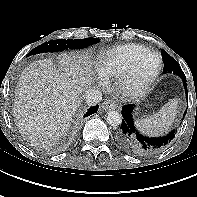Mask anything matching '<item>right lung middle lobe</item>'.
Masks as SVG:
<instances>
[{
	"instance_id": "right-lung-middle-lobe-1",
	"label": "right lung middle lobe",
	"mask_w": 197,
	"mask_h": 197,
	"mask_svg": "<svg viewBox=\"0 0 197 197\" xmlns=\"http://www.w3.org/2000/svg\"><path fill=\"white\" fill-rule=\"evenodd\" d=\"M98 38H85V39H74V40H51L43 43L32 49L27 56L44 53V52H58L65 49H82L90 45L96 44L99 42Z\"/></svg>"
}]
</instances>
